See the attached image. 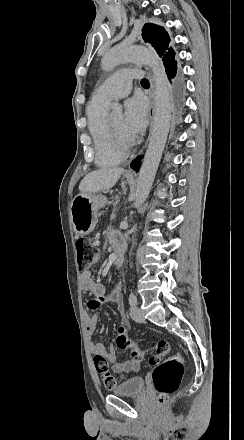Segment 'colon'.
<instances>
[{"label": "colon", "mask_w": 244, "mask_h": 440, "mask_svg": "<svg viewBox=\"0 0 244 440\" xmlns=\"http://www.w3.org/2000/svg\"><path fill=\"white\" fill-rule=\"evenodd\" d=\"M75 248L76 262L81 271L86 270L88 265L91 266L98 262L99 250L91 245L88 240L77 239ZM117 331L119 332L116 338V346L122 351H130L134 361L141 362L148 353L152 354L149 364L155 366L153 372L154 387L160 402H165L170 395L175 393L181 382L183 374L182 355L177 352L172 353L169 342L165 340H159L146 349H141L133 340L127 337L122 326H117ZM93 362L96 372L101 375L102 382L108 386L117 384L115 373L109 372L107 358L98 354L94 356Z\"/></svg>", "instance_id": "obj_1"}]
</instances>
